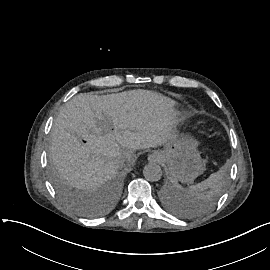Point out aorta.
<instances>
[{"instance_id": "aorta-1", "label": "aorta", "mask_w": 270, "mask_h": 270, "mask_svg": "<svg viewBox=\"0 0 270 270\" xmlns=\"http://www.w3.org/2000/svg\"><path fill=\"white\" fill-rule=\"evenodd\" d=\"M143 175L148 181H158L162 176L161 167L155 163H149L144 167Z\"/></svg>"}]
</instances>
